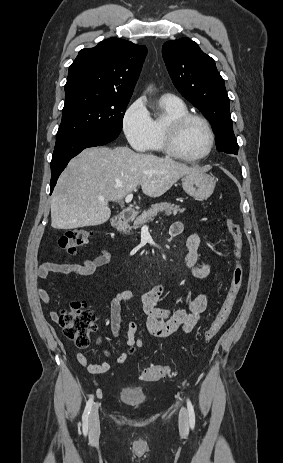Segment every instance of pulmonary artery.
<instances>
[{
	"label": "pulmonary artery",
	"instance_id": "obj_1",
	"mask_svg": "<svg viewBox=\"0 0 283 463\" xmlns=\"http://www.w3.org/2000/svg\"><path fill=\"white\" fill-rule=\"evenodd\" d=\"M162 98H175V96L172 94H165L162 96Z\"/></svg>",
	"mask_w": 283,
	"mask_h": 463
}]
</instances>
